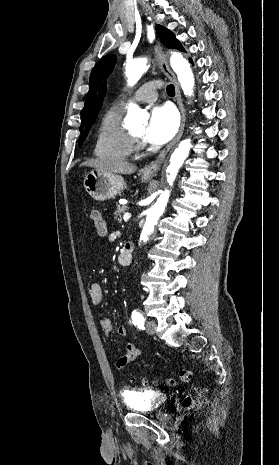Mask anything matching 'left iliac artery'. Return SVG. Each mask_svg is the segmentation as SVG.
Masks as SVG:
<instances>
[{
    "mask_svg": "<svg viewBox=\"0 0 279 465\" xmlns=\"http://www.w3.org/2000/svg\"><path fill=\"white\" fill-rule=\"evenodd\" d=\"M132 320L133 323L138 326V328L144 329L145 318L139 311L134 310L132 312Z\"/></svg>",
    "mask_w": 279,
    "mask_h": 465,
    "instance_id": "left-iliac-artery-1",
    "label": "left iliac artery"
}]
</instances>
